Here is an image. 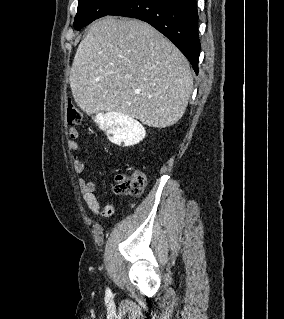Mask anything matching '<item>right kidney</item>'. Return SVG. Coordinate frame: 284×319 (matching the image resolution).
<instances>
[{
  "label": "right kidney",
  "instance_id": "1",
  "mask_svg": "<svg viewBox=\"0 0 284 319\" xmlns=\"http://www.w3.org/2000/svg\"><path fill=\"white\" fill-rule=\"evenodd\" d=\"M95 121L106 132L109 140L118 146H133L145 138V128L133 117L120 113L109 112L98 114Z\"/></svg>",
  "mask_w": 284,
  "mask_h": 319
}]
</instances>
